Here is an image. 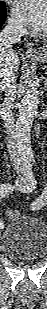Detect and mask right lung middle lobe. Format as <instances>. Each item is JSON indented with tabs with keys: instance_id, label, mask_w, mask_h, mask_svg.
Returning <instances> with one entry per match:
<instances>
[{
	"instance_id": "right-lung-middle-lobe-1",
	"label": "right lung middle lobe",
	"mask_w": 47,
	"mask_h": 309,
	"mask_svg": "<svg viewBox=\"0 0 47 309\" xmlns=\"http://www.w3.org/2000/svg\"><path fill=\"white\" fill-rule=\"evenodd\" d=\"M5 10V4L4 2H0V12Z\"/></svg>"
}]
</instances>
